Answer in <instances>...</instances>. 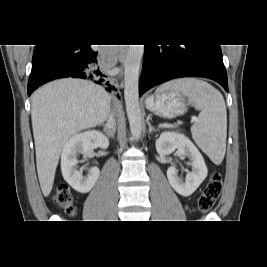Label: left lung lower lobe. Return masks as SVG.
Masks as SVG:
<instances>
[{"label": "left lung lower lobe", "instance_id": "0a47b994", "mask_svg": "<svg viewBox=\"0 0 267 267\" xmlns=\"http://www.w3.org/2000/svg\"><path fill=\"white\" fill-rule=\"evenodd\" d=\"M191 76L212 79L228 92L220 45H145L139 96L168 80Z\"/></svg>", "mask_w": 267, "mask_h": 267}]
</instances>
